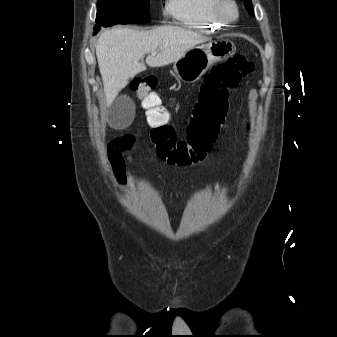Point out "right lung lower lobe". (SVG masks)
I'll return each instance as SVG.
<instances>
[{
  "instance_id": "right-lung-lower-lobe-1",
  "label": "right lung lower lobe",
  "mask_w": 337,
  "mask_h": 337,
  "mask_svg": "<svg viewBox=\"0 0 337 337\" xmlns=\"http://www.w3.org/2000/svg\"><path fill=\"white\" fill-rule=\"evenodd\" d=\"M99 29H100V28H96V29H95V33H96V32H98V31H99Z\"/></svg>"
}]
</instances>
